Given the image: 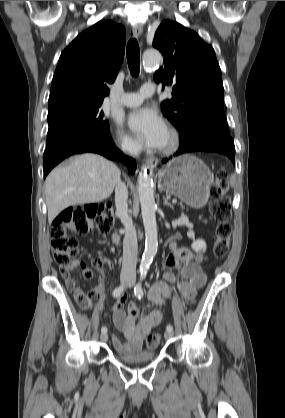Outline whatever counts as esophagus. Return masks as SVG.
<instances>
[{
    "mask_svg": "<svg viewBox=\"0 0 285 418\" xmlns=\"http://www.w3.org/2000/svg\"><path fill=\"white\" fill-rule=\"evenodd\" d=\"M142 31H143V29L140 25L133 26V34L136 38L141 36ZM157 164H158V159L157 158L153 157L148 161V165L150 166V168H155L157 166Z\"/></svg>",
    "mask_w": 285,
    "mask_h": 418,
    "instance_id": "1",
    "label": "esophagus"
}]
</instances>
